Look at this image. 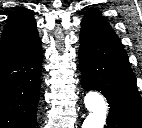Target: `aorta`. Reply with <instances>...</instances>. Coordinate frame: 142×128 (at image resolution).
<instances>
[{
	"label": "aorta",
	"mask_w": 142,
	"mask_h": 128,
	"mask_svg": "<svg viewBox=\"0 0 142 128\" xmlns=\"http://www.w3.org/2000/svg\"><path fill=\"white\" fill-rule=\"evenodd\" d=\"M84 104L89 111L82 128H103L107 116V103L104 97L95 91L88 92Z\"/></svg>",
	"instance_id": "aorta-1"
}]
</instances>
